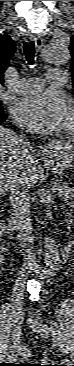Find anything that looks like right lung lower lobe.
<instances>
[{"label": "right lung lower lobe", "instance_id": "98d812e1", "mask_svg": "<svg viewBox=\"0 0 74 366\" xmlns=\"http://www.w3.org/2000/svg\"><path fill=\"white\" fill-rule=\"evenodd\" d=\"M5 120L4 114L2 117H0V124Z\"/></svg>", "mask_w": 74, "mask_h": 366}]
</instances>
